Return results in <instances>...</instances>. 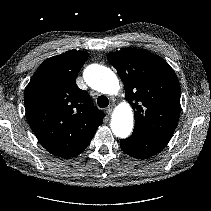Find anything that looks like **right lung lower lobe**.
Masks as SVG:
<instances>
[{
	"label": "right lung lower lobe",
	"instance_id": "right-lung-lower-lobe-1",
	"mask_svg": "<svg viewBox=\"0 0 211 211\" xmlns=\"http://www.w3.org/2000/svg\"><path fill=\"white\" fill-rule=\"evenodd\" d=\"M86 147H87V146H86ZM86 147H85V148H86ZM85 148H83L79 153H81ZM79 153L75 154L74 156L78 155Z\"/></svg>",
	"mask_w": 211,
	"mask_h": 211
}]
</instances>
